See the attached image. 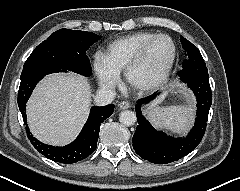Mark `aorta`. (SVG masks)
Instances as JSON below:
<instances>
[{"label":"aorta","instance_id":"obj_1","mask_svg":"<svg viewBox=\"0 0 240 191\" xmlns=\"http://www.w3.org/2000/svg\"><path fill=\"white\" fill-rule=\"evenodd\" d=\"M136 120H137L136 114L133 111H130V110L122 111L119 115L120 123L125 125V126L134 125Z\"/></svg>","mask_w":240,"mask_h":191}]
</instances>
